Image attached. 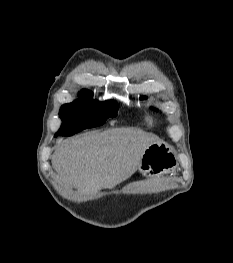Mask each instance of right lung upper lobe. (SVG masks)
<instances>
[{"instance_id": "1", "label": "right lung upper lobe", "mask_w": 233, "mask_h": 263, "mask_svg": "<svg viewBox=\"0 0 233 263\" xmlns=\"http://www.w3.org/2000/svg\"><path fill=\"white\" fill-rule=\"evenodd\" d=\"M80 97L81 98H89V97H91V93L88 90H82L80 92Z\"/></svg>"}]
</instances>
